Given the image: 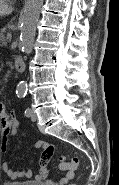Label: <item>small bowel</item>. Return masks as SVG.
Returning a JSON list of instances; mask_svg holds the SVG:
<instances>
[{"label": "small bowel", "mask_w": 119, "mask_h": 185, "mask_svg": "<svg viewBox=\"0 0 119 185\" xmlns=\"http://www.w3.org/2000/svg\"><path fill=\"white\" fill-rule=\"evenodd\" d=\"M0 118H1V151L3 154L9 155L10 153L9 142L10 139L17 133L19 122L7 110V107L3 102L0 103ZM35 148L42 150V157L39 164V170L35 175H33V172L30 169L13 170L8 161L3 162L2 164V170L4 174L12 180L31 177H34V179L38 181L47 179L49 173V163L54 153V146L46 141L40 140L35 143ZM76 169L77 166L61 164L60 170L65 172L64 177L61 178L57 183L47 181L46 184L70 185L69 181L74 178Z\"/></svg>", "instance_id": "c3829d8e"}]
</instances>
